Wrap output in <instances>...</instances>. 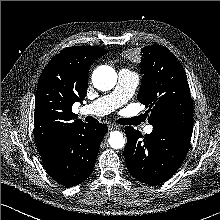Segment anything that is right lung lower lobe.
<instances>
[{
  "label": "right lung lower lobe",
  "mask_w": 220,
  "mask_h": 220,
  "mask_svg": "<svg viewBox=\"0 0 220 220\" xmlns=\"http://www.w3.org/2000/svg\"><path fill=\"white\" fill-rule=\"evenodd\" d=\"M107 130L105 124L84 123L40 154L49 176L66 187L86 180L93 170Z\"/></svg>",
  "instance_id": "right-lung-lower-lobe-1"
}]
</instances>
